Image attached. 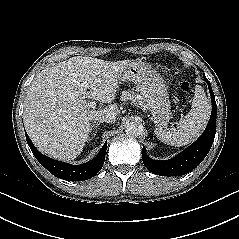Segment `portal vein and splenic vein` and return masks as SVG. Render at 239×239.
Wrapping results in <instances>:
<instances>
[{"label":"portal vein and splenic vein","mask_w":239,"mask_h":239,"mask_svg":"<svg viewBox=\"0 0 239 239\" xmlns=\"http://www.w3.org/2000/svg\"><path fill=\"white\" fill-rule=\"evenodd\" d=\"M84 85L85 86H88V84L85 82L84 83ZM89 106L91 107V108H95L96 107V103L94 102V101H91L90 103H89Z\"/></svg>","instance_id":"obj_1"}]
</instances>
